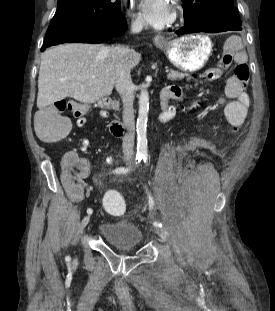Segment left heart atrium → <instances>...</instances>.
<instances>
[{
	"label": "left heart atrium",
	"mask_w": 275,
	"mask_h": 311,
	"mask_svg": "<svg viewBox=\"0 0 275 311\" xmlns=\"http://www.w3.org/2000/svg\"><path fill=\"white\" fill-rule=\"evenodd\" d=\"M139 9L145 22L156 28L167 26L174 17L171 0H140Z\"/></svg>",
	"instance_id": "obj_1"
}]
</instances>
